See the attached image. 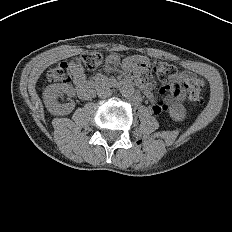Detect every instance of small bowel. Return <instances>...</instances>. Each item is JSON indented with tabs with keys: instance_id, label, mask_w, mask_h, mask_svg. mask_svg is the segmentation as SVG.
<instances>
[{
	"instance_id": "small-bowel-1",
	"label": "small bowel",
	"mask_w": 232,
	"mask_h": 232,
	"mask_svg": "<svg viewBox=\"0 0 232 232\" xmlns=\"http://www.w3.org/2000/svg\"><path fill=\"white\" fill-rule=\"evenodd\" d=\"M122 65L126 70H134V75L137 79L146 82L150 79L151 74L149 68L151 62L146 57H126L120 61V59L111 55L107 58L105 66L108 70L113 71ZM72 73L74 77V84L78 89L81 85L86 83V76L83 70L78 66H72ZM191 83H197L203 85V81L190 72H179L171 81L159 90V97L153 98L151 85L146 84L144 90L147 100L151 103V109L154 113H160L167 108V104L172 101L181 102L185 98L186 86ZM170 95L166 96V93Z\"/></svg>"
}]
</instances>
